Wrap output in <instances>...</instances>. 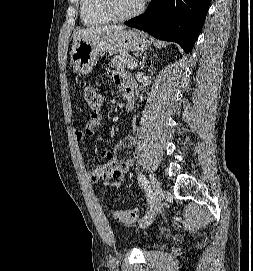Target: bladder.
<instances>
[{
  "instance_id": "obj_1",
  "label": "bladder",
  "mask_w": 253,
  "mask_h": 271,
  "mask_svg": "<svg viewBox=\"0 0 253 271\" xmlns=\"http://www.w3.org/2000/svg\"><path fill=\"white\" fill-rule=\"evenodd\" d=\"M137 243L143 245V246H148L149 245V242L143 238H137Z\"/></svg>"
}]
</instances>
